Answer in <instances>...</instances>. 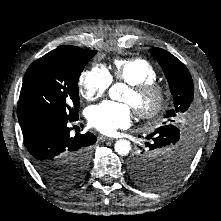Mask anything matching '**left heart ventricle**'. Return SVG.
Returning a JSON list of instances; mask_svg holds the SVG:
<instances>
[{"label": "left heart ventricle", "mask_w": 221, "mask_h": 221, "mask_svg": "<svg viewBox=\"0 0 221 221\" xmlns=\"http://www.w3.org/2000/svg\"><path fill=\"white\" fill-rule=\"evenodd\" d=\"M123 101L130 104L132 107L135 106L145 107L151 105L153 102L152 99L137 100L130 90H127L126 93L124 94Z\"/></svg>", "instance_id": "obj_1"}]
</instances>
